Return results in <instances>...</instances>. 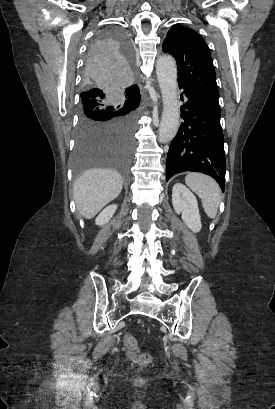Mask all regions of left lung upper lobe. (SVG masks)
I'll use <instances>...</instances> for the list:
<instances>
[{
    "label": "left lung upper lobe",
    "mask_w": 275,
    "mask_h": 409,
    "mask_svg": "<svg viewBox=\"0 0 275 409\" xmlns=\"http://www.w3.org/2000/svg\"><path fill=\"white\" fill-rule=\"evenodd\" d=\"M163 51L177 61L178 83L219 96L209 48L198 33L183 25L171 27L163 42Z\"/></svg>",
    "instance_id": "left-lung-upper-lobe-1"
}]
</instances>
